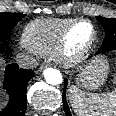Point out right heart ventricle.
I'll use <instances>...</instances> for the list:
<instances>
[{
  "instance_id": "obj_1",
  "label": "right heart ventricle",
  "mask_w": 116,
  "mask_h": 116,
  "mask_svg": "<svg viewBox=\"0 0 116 116\" xmlns=\"http://www.w3.org/2000/svg\"><path fill=\"white\" fill-rule=\"evenodd\" d=\"M75 19L45 18L27 24L22 32V45L38 55L52 54L63 29Z\"/></svg>"
}]
</instances>
